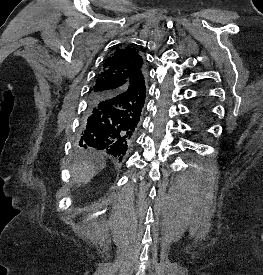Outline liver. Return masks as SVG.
Wrapping results in <instances>:
<instances>
[{"mask_svg": "<svg viewBox=\"0 0 263 275\" xmlns=\"http://www.w3.org/2000/svg\"><path fill=\"white\" fill-rule=\"evenodd\" d=\"M104 168V163L95 166L90 161H82L72 168L73 182L78 186L89 183L96 173Z\"/></svg>", "mask_w": 263, "mask_h": 275, "instance_id": "1", "label": "liver"}]
</instances>
